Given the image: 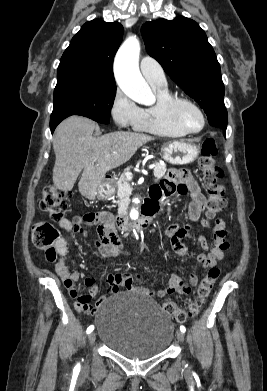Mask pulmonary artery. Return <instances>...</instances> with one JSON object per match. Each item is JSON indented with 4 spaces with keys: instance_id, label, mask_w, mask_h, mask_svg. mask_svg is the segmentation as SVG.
<instances>
[{
    "instance_id": "obj_1",
    "label": "pulmonary artery",
    "mask_w": 267,
    "mask_h": 391,
    "mask_svg": "<svg viewBox=\"0 0 267 391\" xmlns=\"http://www.w3.org/2000/svg\"><path fill=\"white\" fill-rule=\"evenodd\" d=\"M140 70L152 87H166L167 80L162 66L152 57L144 56L140 61Z\"/></svg>"
}]
</instances>
